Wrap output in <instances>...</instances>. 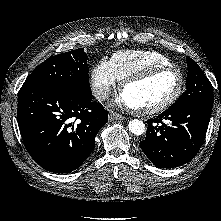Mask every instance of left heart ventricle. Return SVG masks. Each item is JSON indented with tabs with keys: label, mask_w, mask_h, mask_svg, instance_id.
Wrapping results in <instances>:
<instances>
[{
	"label": "left heart ventricle",
	"mask_w": 221,
	"mask_h": 221,
	"mask_svg": "<svg viewBox=\"0 0 221 221\" xmlns=\"http://www.w3.org/2000/svg\"><path fill=\"white\" fill-rule=\"evenodd\" d=\"M179 77L176 72L157 74L147 80L127 86L122 92L132 107L145 109L156 106L176 91Z\"/></svg>",
	"instance_id": "b2bd125f"
}]
</instances>
